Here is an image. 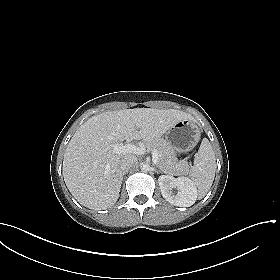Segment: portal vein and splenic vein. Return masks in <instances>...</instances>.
Here are the masks:
<instances>
[{"label":"portal vein and splenic vein","instance_id":"18ae733b","mask_svg":"<svg viewBox=\"0 0 280 280\" xmlns=\"http://www.w3.org/2000/svg\"><path fill=\"white\" fill-rule=\"evenodd\" d=\"M110 149L113 150L114 153H119V154H126V153H133V154H144L146 152L145 148L138 147L134 144H113L109 146ZM159 158L158 151L154 149L152 151V161L154 164L157 163Z\"/></svg>","mask_w":280,"mask_h":280}]
</instances>
